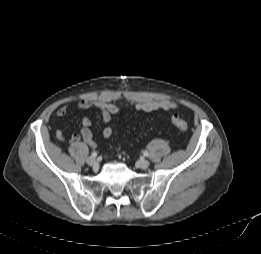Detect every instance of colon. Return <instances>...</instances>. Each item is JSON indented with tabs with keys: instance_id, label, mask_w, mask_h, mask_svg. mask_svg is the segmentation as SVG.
Wrapping results in <instances>:
<instances>
[{
	"instance_id": "obj_1",
	"label": "colon",
	"mask_w": 261,
	"mask_h": 254,
	"mask_svg": "<svg viewBox=\"0 0 261 254\" xmlns=\"http://www.w3.org/2000/svg\"><path fill=\"white\" fill-rule=\"evenodd\" d=\"M170 122L172 126L175 127L181 133L186 132L188 129L187 122L183 118H181L178 114H173L170 117Z\"/></svg>"
}]
</instances>
